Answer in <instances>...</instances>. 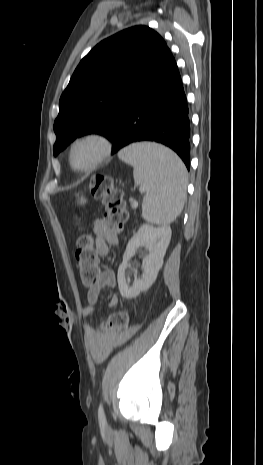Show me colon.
I'll use <instances>...</instances> for the list:
<instances>
[{"label": "colon", "instance_id": "1", "mask_svg": "<svg viewBox=\"0 0 263 465\" xmlns=\"http://www.w3.org/2000/svg\"><path fill=\"white\" fill-rule=\"evenodd\" d=\"M90 188L92 195L101 200L105 206L104 222L117 231L122 230L127 220V212L122 192L115 187L112 178L103 175L96 176L92 179ZM75 255L82 283L88 287L94 286L101 271L90 235L82 234L78 237ZM130 315L129 309L115 312L106 321L100 322L98 328L104 333L129 330L131 329L129 327Z\"/></svg>", "mask_w": 263, "mask_h": 465}]
</instances>
